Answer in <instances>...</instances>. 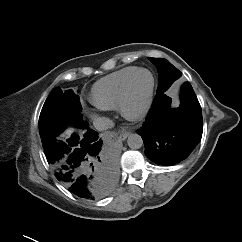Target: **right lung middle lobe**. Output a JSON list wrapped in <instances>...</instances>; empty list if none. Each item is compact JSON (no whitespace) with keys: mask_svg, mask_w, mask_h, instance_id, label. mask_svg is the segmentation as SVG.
<instances>
[{"mask_svg":"<svg viewBox=\"0 0 242 242\" xmlns=\"http://www.w3.org/2000/svg\"><path fill=\"white\" fill-rule=\"evenodd\" d=\"M79 96L73 90L63 92L55 88L46 99L39 117V132L42 145L57 136L67 121H74L76 126L84 127L87 122L82 120Z\"/></svg>","mask_w":242,"mask_h":242,"instance_id":"right-lung-middle-lobe-1","label":"right lung middle lobe"}]
</instances>
